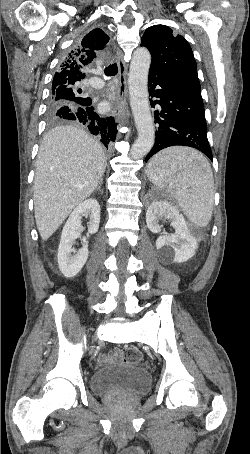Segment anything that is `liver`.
Wrapping results in <instances>:
<instances>
[{
	"label": "liver",
	"mask_w": 250,
	"mask_h": 454,
	"mask_svg": "<svg viewBox=\"0 0 250 454\" xmlns=\"http://www.w3.org/2000/svg\"><path fill=\"white\" fill-rule=\"evenodd\" d=\"M106 168L102 146L84 130L58 126L43 138L36 161L34 210L42 240L97 188Z\"/></svg>",
	"instance_id": "6515ba94"
}]
</instances>
